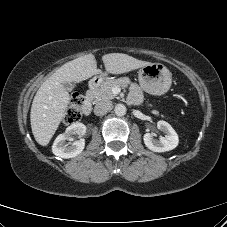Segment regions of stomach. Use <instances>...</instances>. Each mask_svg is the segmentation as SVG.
<instances>
[{
    "mask_svg": "<svg viewBox=\"0 0 227 227\" xmlns=\"http://www.w3.org/2000/svg\"><path fill=\"white\" fill-rule=\"evenodd\" d=\"M102 75L95 77L94 79L101 80ZM138 79L141 88L152 95L165 94L172 83L170 71L162 64L150 63L138 72Z\"/></svg>",
    "mask_w": 227,
    "mask_h": 227,
    "instance_id": "0dacf381",
    "label": "stomach"
}]
</instances>
